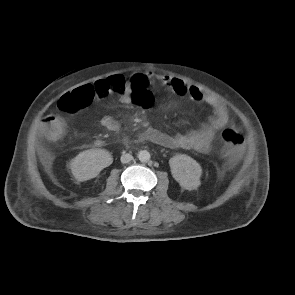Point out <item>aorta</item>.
<instances>
[{"instance_id":"1","label":"aorta","mask_w":295,"mask_h":295,"mask_svg":"<svg viewBox=\"0 0 295 295\" xmlns=\"http://www.w3.org/2000/svg\"><path fill=\"white\" fill-rule=\"evenodd\" d=\"M138 159L141 162H147L150 159V153L147 150H141L138 153Z\"/></svg>"}]
</instances>
